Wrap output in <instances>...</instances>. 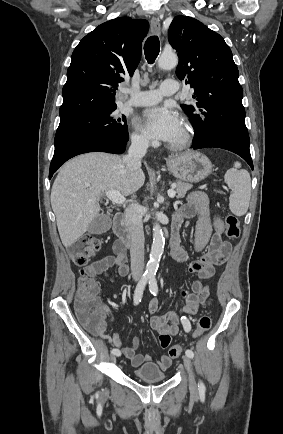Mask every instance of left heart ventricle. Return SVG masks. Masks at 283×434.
Returning a JSON list of instances; mask_svg holds the SVG:
<instances>
[{"label": "left heart ventricle", "mask_w": 283, "mask_h": 434, "mask_svg": "<svg viewBox=\"0 0 283 434\" xmlns=\"http://www.w3.org/2000/svg\"><path fill=\"white\" fill-rule=\"evenodd\" d=\"M181 134H182V126H181V128H180V130H179L177 136H176V137H175L171 142H175V141H177V140L181 137Z\"/></svg>", "instance_id": "1"}]
</instances>
